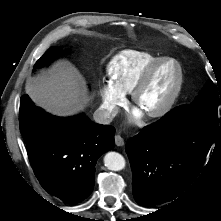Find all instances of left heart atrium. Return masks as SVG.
Returning <instances> with one entry per match:
<instances>
[{"label": "left heart atrium", "instance_id": "obj_1", "mask_svg": "<svg viewBox=\"0 0 221 221\" xmlns=\"http://www.w3.org/2000/svg\"><path fill=\"white\" fill-rule=\"evenodd\" d=\"M139 115H140V113H139V112H137V113H136V116H139Z\"/></svg>", "mask_w": 221, "mask_h": 221}]
</instances>
